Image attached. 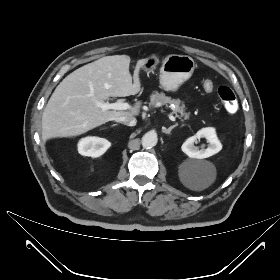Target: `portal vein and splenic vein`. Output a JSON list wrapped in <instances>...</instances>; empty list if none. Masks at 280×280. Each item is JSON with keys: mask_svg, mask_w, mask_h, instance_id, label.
Segmentation results:
<instances>
[{"mask_svg": "<svg viewBox=\"0 0 280 280\" xmlns=\"http://www.w3.org/2000/svg\"><path fill=\"white\" fill-rule=\"evenodd\" d=\"M95 104L100 107L103 111L106 110H127V109H131V106L128 103H123L121 101H117L115 103H108V102H100V101H96ZM168 118L175 122L176 118L172 115V114H168Z\"/></svg>", "mask_w": 280, "mask_h": 280, "instance_id": "1", "label": "portal vein and splenic vein"}]
</instances>
